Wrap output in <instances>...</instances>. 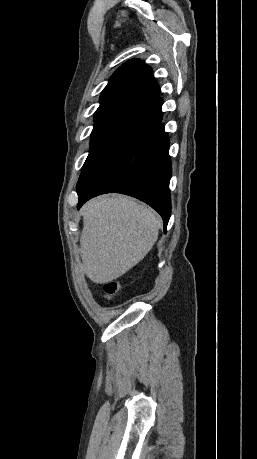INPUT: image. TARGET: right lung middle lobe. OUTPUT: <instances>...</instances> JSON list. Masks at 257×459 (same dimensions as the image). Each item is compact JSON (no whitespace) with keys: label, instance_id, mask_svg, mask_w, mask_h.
I'll return each mask as SVG.
<instances>
[{"label":"right lung middle lobe","instance_id":"obj_1","mask_svg":"<svg viewBox=\"0 0 257 459\" xmlns=\"http://www.w3.org/2000/svg\"><path fill=\"white\" fill-rule=\"evenodd\" d=\"M133 114L127 110H109L94 114L96 124L91 134V148L82 169L107 147L120 126Z\"/></svg>","mask_w":257,"mask_h":459}]
</instances>
